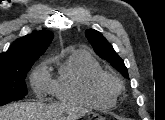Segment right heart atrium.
Listing matches in <instances>:
<instances>
[{
  "instance_id": "obj_1",
  "label": "right heart atrium",
  "mask_w": 165,
  "mask_h": 120,
  "mask_svg": "<svg viewBox=\"0 0 165 120\" xmlns=\"http://www.w3.org/2000/svg\"><path fill=\"white\" fill-rule=\"evenodd\" d=\"M31 83L37 92H43L50 89L51 83L48 81L46 69L43 65L35 69L31 76Z\"/></svg>"
}]
</instances>
